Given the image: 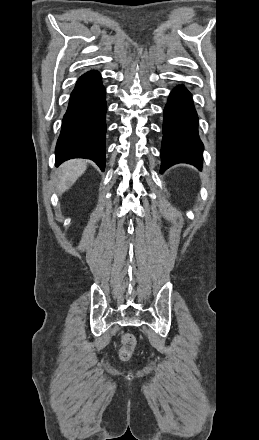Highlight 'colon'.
I'll use <instances>...</instances> for the list:
<instances>
[{
	"label": "colon",
	"mask_w": 259,
	"mask_h": 440,
	"mask_svg": "<svg viewBox=\"0 0 259 440\" xmlns=\"http://www.w3.org/2000/svg\"><path fill=\"white\" fill-rule=\"evenodd\" d=\"M136 345L135 337L130 333H125L121 337V346L119 349V358L121 361L126 362L132 357L134 348Z\"/></svg>",
	"instance_id": "colon-1"
}]
</instances>
